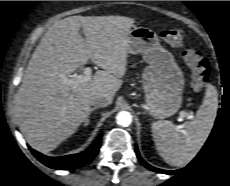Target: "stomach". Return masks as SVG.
Segmentation results:
<instances>
[{
  "instance_id": "0dacf381",
  "label": "stomach",
  "mask_w": 230,
  "mask_h": 186,
  "mask_svg": "<svg viewBox=\"0 0 230 186\" xmlns=\"http://www.w3.org/2000/svg\"><path fill=\"white\" fill-rule=\"evenodd\" d=\"M128 52L142 54L148 63L142 74L147 111L156 118L174 115L182 104L185 79L173 55L160 45L157 34L146 27H134Z\"/></svg>"
}]
</instances>
